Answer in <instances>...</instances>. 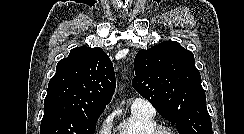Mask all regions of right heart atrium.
<instances>
[{
	"label": "right heart atrium",
	"instance_id": "d8ad5b80",
	"mask_svg": "<svg viewBox=\"0 0 244 134\" xmlns=\"http://www.w3.org/2000/svg\"><path fill=\"white\" fill-rule=\"evenodd\" d=\"M112 121V115H108L106 118H104L98 128L97 134H110Z\"/></svg>",
	"mask_w": 244,
	"mask_h": 134
}]
</instances>
